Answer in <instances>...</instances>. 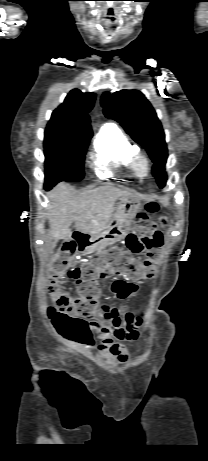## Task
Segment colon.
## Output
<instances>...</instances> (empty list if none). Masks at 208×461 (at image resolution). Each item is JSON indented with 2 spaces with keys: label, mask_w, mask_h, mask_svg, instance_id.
<instances>
[{
  "label": "colon",
  "mask_w": 208,
  "mask_h": 461,
  "mask_svg": "<svg viewBox=\"0 0 208 461\" xmlns=\"http://www.w3.org/2000/svg\"><path fill=\"white\" fill-rule=\"evenodd\" d=\"M158 206L148 203L146 210L136 216V232L125 238V247L113 246L106 254L94 256L79 267L69 270L70 261L75 251L84 244V237L71 240L63 246L53 260L49 271V288L55 305L49 309V315L58 333L65 339L85 344L90 340L87 318L91 317L97 307L100 290L97 278L106 275L108 270L126 276L132 281L152 278L155 274L154 263L160 259L156 251L162 246L160 225L149 214L155 213ZM147 250L148 259L141 260L132 256ZM68 272L74 280L76 296L62 291V279Z\"/></svg>",
  "instance_id": "5ec220e1"
}]
</instances>
